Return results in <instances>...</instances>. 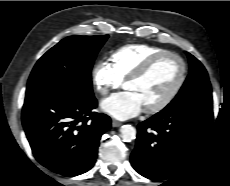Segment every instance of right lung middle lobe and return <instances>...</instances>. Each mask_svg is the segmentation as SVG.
Segmentation results:
<instances>
[{"label": "right lung middle lobe", "instance_id": "right-lung-middle-lobe-1", "mask_svg": "<svg viewBox=\"0 0 230 186\" xmlns=\"http://www.w3.org/2000/svg\"><path fill=\"white\" fill-rule=\"evenodd\" d=\"M107 38L108 35L69 36L61 40L36 63L26 96L48 89L93 94L91 68Z\"/></svg>", "mask_w": 230, "mask_h": 186}]
</instances>
